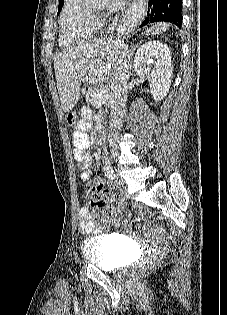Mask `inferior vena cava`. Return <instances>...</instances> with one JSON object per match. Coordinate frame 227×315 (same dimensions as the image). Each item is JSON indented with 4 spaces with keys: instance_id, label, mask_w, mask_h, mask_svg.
Masks as SVG:
<instances>
[{
    "instance_id": "obj_1",
    "label": "inferior vena cava",
    "mask_w": 227,
    "mask_h": 315,
    "mask_svg": "<svg viewBox=\"0 0 227 315\" xmlns=\"http://www.w3.org/2000/svg\"><path fill=\"white\" fill-rule=\"evenodd\" d=\"M117 24V17L113 20L109 32H113ZM124 52L121 54L117 64L114 67L111 78V119L108 130V142L109 146L115 150L117 148V136L122 126V119L124 117V109L127 101V90L129 80L130 64L127 62V48H124ZM130 59V58H129ZM104 165L106 168H111L109 161L105 160Z\"/></svg>"
}]
</instances>
